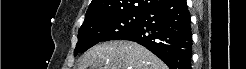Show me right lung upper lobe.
<instances>
[{
  "label": "right lung upper lobe",
  "instance_id": "1",
  "mask_svg": "<svg viewBox=\"0 0 246 69\" xmlns=\"http://www.w3.org/2000/svg\"><path fill=\"white\" fill-rule=\"evenodd\" d=\"M164 0H92L85 20L90 21L122 14H142Z\"/></svg>",
  "mask_w": 246,
  "mask_h": 69
}]
</instances>
